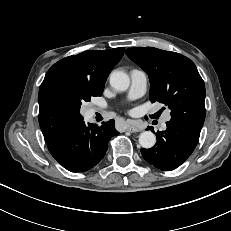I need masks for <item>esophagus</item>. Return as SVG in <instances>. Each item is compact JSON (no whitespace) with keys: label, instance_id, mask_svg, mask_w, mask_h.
<instances>
[{"label":"esophagus","instance_id":"esophagus-1","mask_svg":"<svg viewBox=\"0 0 231 231\" xmlns=\"http://www.w3.org/2000/svg\"><path fill=\"white\" fill-rule=\"evenodd\" d=\"M126 131L131 132V133H134V132H139V131H141V129H140L139 127L135 126V125H128V126L126 127Z\"/></svg>","mask_w":231,"mask_h":231}]
</instances>
